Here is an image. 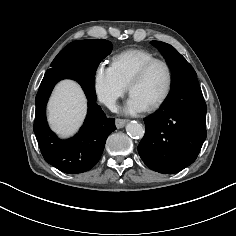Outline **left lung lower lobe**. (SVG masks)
I'll return each instance as SVG.
<instances>
[{
  "instance_id": "0a47b994",
  "label": "left lung lower lobe",
  "mask_w": 236,
  "mask_h": 236,
  "mask_svg": "<svg viewBox=\"0 0 236 236\" xmlns=\"http://www.w3.org/2000/svg\"><path fill=\"white\" fill-rule=\"evenodd\" d=\"M206 111L196 76L174 85L161 108L144 119L145 135L138 146L144 163L165 174L192 164L206 139Z\"/></svg>"
}]
</instances>
